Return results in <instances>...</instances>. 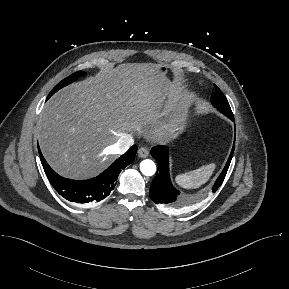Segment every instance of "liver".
<instances>
[{"instance_id": "obj_1", "label": "liver", "mask_w": 289, "mask_h": 289, "mask_svg": "<svg viewBox=\"0 0 289 289\" xmlns=\"http://www.w3.org/2000/svg\"><path fill=\"white\" fill-rule=\"evenodd\" d=\"M166 77L152 63H124L55 93L38 120L40 149L55 172L92 178L116 158L112 146L151 122L168 95Z\"/></svg>"}]
</instances>
